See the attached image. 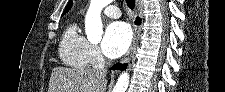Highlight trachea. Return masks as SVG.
<instances>
[{"mask_svg":"<svg viewBox=\"0 0 225 92\" xmlns=\"http://www.w3.org/2000/svg\"><path fill=\"white\" fill-rule=\"evenodd\" d=\"M126 3H127V6L130 9H134V7H135V0H126Z\"/></svg>","mask_w":225,"mask_h":92,"instance_id":"3493384b","label":"trachea"}]
</instances>
